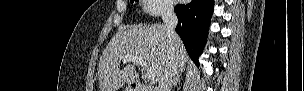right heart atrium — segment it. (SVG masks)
<instances>
[{
    "instance_id": "right-heart-atrium-1",
    "label": "right heart atrium",
    "mask_w": 304,
    "mask_h": 91,
    "mask_svg": "<svg viewBox=\"0 0 304 91\" xmlns=\"http://www.w3.org/2000/svg\"><path fill=\"white\" fill-rule=\"evenodd\" d=\"M143 6L146 13L150 15H162L170 11V4L167 0H144Z\"/></svg>"
}]
</instances>
